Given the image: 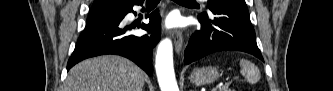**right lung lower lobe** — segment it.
<instances>
[{"instance_id": "obj_1", "label": "right lung lower lobe", "mask_w": 333, "mask_h": 91, "mask_svg": "<svg viewBox=\"0 0 333 91\" xmlns=\"http://www.w3.org/2000/svg\"><path fill=\"white\" fill-rule=\"evenodd\" d=\"M142 3L133 4L128 9L117 13L89 15L86 27L80 34L75 50L68 61L67 70L84 59L115 54L132 60L151 76L153 74L152 51L160 40L161 18L158 11L149 15V24L138 25V28L151 32L150 36L131 35L129 31L136 26L125 25L123 22L127 13H134L132 7Z\"/></svg>"}]
</instances>
